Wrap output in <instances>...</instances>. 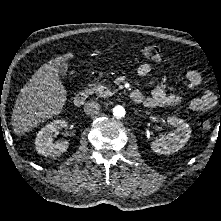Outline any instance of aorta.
I'll return each instance as SVG.
<instances>
[{"label": "aorta", "mask_w": 221, "mask_h": 221, "mask_svg": "<svg viewBox=\"0 0 221 221\" xmlns=\"http://www.w3.org/2000/svg\"><path fill=\"white\" fill-rule=\"evenodd\" d=\"M112 114L114 117L121 119L124 118L126 115V110L123 106L121 105H116L113 109H112Z\"/></svg>", "instance_id": "obj_1"}]
</instances>
